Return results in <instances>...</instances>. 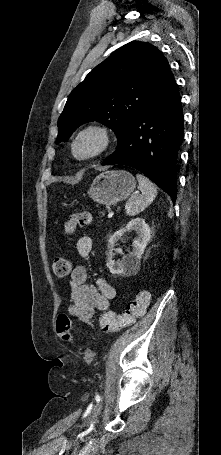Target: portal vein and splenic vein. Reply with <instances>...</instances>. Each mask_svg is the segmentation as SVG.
I'll return each instance as SVG.
<instances>
[{"mask_svg": "<svg viewBox=\"0 0 221 455\" xmlns=\"http://www.w3.org/2000/svg\"><path fill=\"white\" fill-rule=\"evenodd\" d=\"M113 214L114 213L112 211L108 212V218H111L113 216Z\"/></svg>", "mask_w": 221, "mask_h": 455, "instance_id": "obj_1", "label": "portal vein and splenic vein"}]
</instances>
